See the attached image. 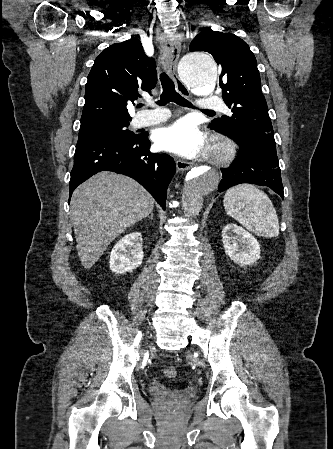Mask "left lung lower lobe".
I'll return each mask as SVG.
<instances>
[{"instance_id":"left-lung-lower-lobe-1","label":"left lung lower lobe","mask_w":333,"mask_h":449,"mask_svg":"<svg viewBox=\"0 0 333 449\" xmlns=\"http://www.w3.org/2000/svg\"><path fill=\"white\" fill-rule=\"evenodd\" d=\"M233 164L222 170L219 192L234 185L252 183L270 187L284 197L277 155L261 149L245 148L240 144Z\"/></svg>"}]
</instances>
